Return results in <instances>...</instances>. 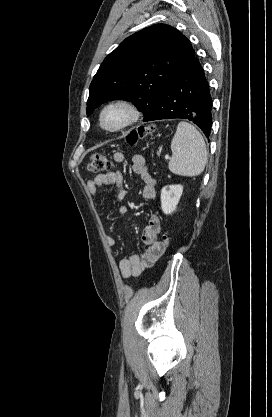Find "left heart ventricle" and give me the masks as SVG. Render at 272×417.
<instances>
[{"label":"left heart ventricle","mask_w":272,"mask_h":417,"mask_svg":"<svg viewBox=\"0 0 272 417\" xmlns=\"http://www.w3.org/2000/svg\"><path fill=\"white\" fill-rule=\"evenodd\" d=\"M125 117V113L121 109H113L106 113L105 124L108 127H115L120 124Z\"/></svg>","instance_id":"left-heart-ventricle-1"}]
</instances>
